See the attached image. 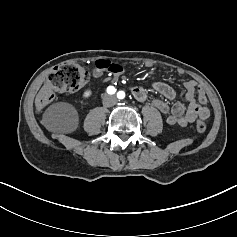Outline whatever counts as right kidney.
Returning <instances> with one entry per match:
<instances>
[{
  "label": "right kidney",
  "instance_id": "obj_1",
  "mask_svg": "<svg viewBox=\"0 0 237 237\" xmlns=\"http://www.w3.org/2000/svg\"><path fill=\"white\" fill-rule=\"evenodd\" d=\"M91 94H92L91 90H86V91L84 92V94H83V97H84V98H88V97L91 96Z\"/></svg>",
  "mask_w": 237,
  "mask_h": 237
}]
</instances>
